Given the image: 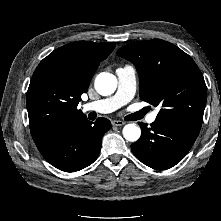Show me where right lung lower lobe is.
Wrapping results in <instances>:
<instances>
[{
    "instance_id": "98d812e1",
    "label": "right lung lower lobe",
    "mask_w": 221,
    "mask_h": 221,
    "mask_svg": "<svg viewBox=\"0 0 221 221\" xmlns=\"http://www.w3.org/2000/svg\"><path fill=\"white\" fill-rule=\"evenodd\" d=\"M111 122L98 118L67 123L34 140L42 156L65 172L79 171L92 164L101 149L102 137Z\"/></svg>"
}]
</instances>
